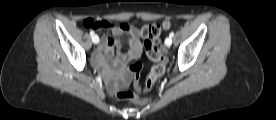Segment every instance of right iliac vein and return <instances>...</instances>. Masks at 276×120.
<instances>
[{"instance_id":"obj_1","label":"right iliac vein","mask_w":276,"mask_h":120,"mask_svg":"<svg viewBox=\"0 0 276 120\" xmlns=\"http://www.w3.org/2000/svg\"><path fill=\"white\" fill-rule=\"evenodd\" d=\"M97 38H98V36H97V35H95L94 37H92V41H93V40H95V41H93L95 44H97V43H98V42H96Z\"/></svg>"}]
</instances>
